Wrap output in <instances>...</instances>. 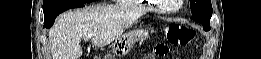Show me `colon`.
Listing matches in <instances>:
<instances>
[{
  "instance_id": "1",
  "label": "colon",
  "mask_w": 261,
  "mask_h": 59,
  "mask_svg": "<svg viewBox=\"0 0 261 59\" xmlns=\"http://www.w3.org/2000/svg\"><path fill=\"white\" fill-rule=\"evenodd\" d=\"M165 38L170 44L185 46L195 38V31L182 24H169L165 27ZM169 47L165 43L157 44L153 49V55L149 58H161L168 54Z\"/></svg>"
}]
</instances>
